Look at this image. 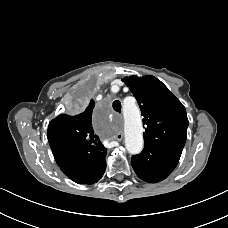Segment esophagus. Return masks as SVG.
<instances>
[{"label":"esophagus","mask_w":228,"mask_h":228,"mask_svg":"<svg viewBox=\"0 0 228 228\" xmlns=\"http://www.w3.org/2000/svg\"><path fill=\"white\" fill-rule=\"evenodd\" d=\"M115 139H116L117 141H121V140L123 139V133H122V132L117 133L116 136H115Z\"/></svg>","instance_id":"34e87169"}]
</instances>
